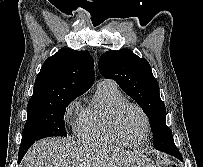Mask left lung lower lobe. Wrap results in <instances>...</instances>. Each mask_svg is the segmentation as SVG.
Masks as SVG:
<instances>
[{
  "instance_id": "1",
  "label": "left lung lower lobe",
  "mask_w": 203,
  "mask_h": 167,
  "mask_svg": "<svg viewBox=\"0 0 203 167\" xmlns=\"http://www.w3.org/2000/svg\"><path fill=\"white\" fill-rule=\"evenodd\" d=\"M154 147H155V149H158L161 152L168 153L175 157L180 156V153H179L176 145L174 144V140L171 138H165V139L162 138L160 141L155 143Z\"/></svg>"
}]
</instances>
